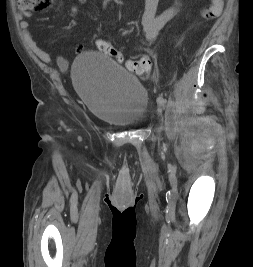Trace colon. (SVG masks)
I'll return each mask as SVG.
<instances>
[{"mask_svg":"<svg viewBox=\"0 0 253 267\" xmlns=\"http://www.w3.org/2000/svg\"><path fill=\"white\" fill-rule=\"evenodd\" d=\"M53 0H17L19 8L30 11H41L48 8ZM223 8V0H211L210 5L204 10L203 16L206 19L217 18ZM97 48L100 52L118 61H122V55L105 40L97 41ZM126 68L136 74H146L151 69V59L147 55H139L136 59H130L125 63Z\"/></svg>","mask_w":253,"mask_h":267,"instance_id":"colon-1","label":"colon"}]
</instances>
